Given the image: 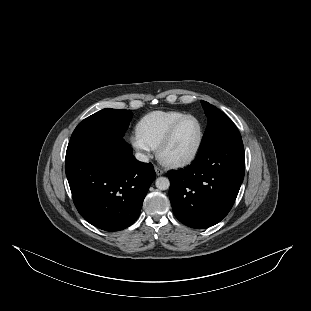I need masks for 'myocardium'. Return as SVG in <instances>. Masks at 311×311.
Returning <instances> with one entry per match:
<instances>
[{"mask_svg":"<svg viewBox=\"0 0 311 311\" xmlns=\"http://www.w3.org/2000/svg\"><path fill=\"white\" fill-rule=\"evenodd\" d=\"M190 118L196 119L200 125V137H199V141H198V144H197L195 151L189 157H187L185 159L174 160V161L165 160L163 158L164 150L173 142L174 137H175L176 132L179 129V127L186 120H188ZM204 140H205V127H204L202 120L194 114H187V115L183 116L182 118H180L179 120H177L173 124V126L170 128V130L165 135V137L159 143V145L157 147V154H158L160 161L168 167L178 168V167L187 166V165L193 163L198 158V156L200 155V152H201L203 145H204Z\"/></svg>","mask_w":311,"mask_h":311,"instance_id":"obj_1","label":"myocardium"}]
</instances>
